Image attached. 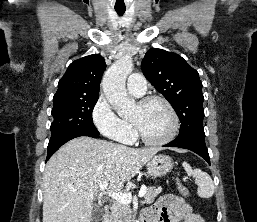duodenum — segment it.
Wrapping results in <instances>:
<instances>
[{
	"instance_id": "obj_1",
	"label": "duodenum",
	"mask_w": 257,
	"mask_h": 222,
	"mask_svg": "<svg viewBox=\"0 0 257 222\" xmlns=\"http://www.w3.org/2000/svg\"><path fill=\"white\" fill-rule=\"evenodd\" d=\"M103 211H104V219H105V218L109 217V214L111 212V207L109 205H105L103 207ZM141 222H144V220Z\"/></svg>"
}]
</instances>
